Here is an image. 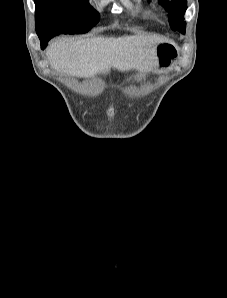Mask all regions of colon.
<instances>
[{
    "mask_svg": "<svg viewBox=\"0 0 227 298\" xmlns=\"http://www.w3.org/2000/svg\"><path fill=\"white\" fill-rule=\"evenodd\" d=\"M157 55L160 65L166 67L176 57V49L170 43H162L158 46Z\"/></svg>",
    "mask_w": 227,
    "mask_h": 298,
    "instance_id": "5ec220e1",
    "label": "colon"
}]
</instances>
